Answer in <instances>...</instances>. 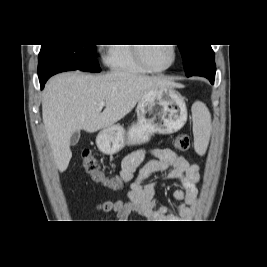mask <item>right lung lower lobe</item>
I'll return each instance as SVG.
<instances>
[{
  "label": "right lung lower lobe",
  "instance_id": "98d812e1",
  "mask_svg": "<svg viewBox=\"0 0 267 267\" xmlns=\"http://www.w3.org/2000/svg\"><path fill=\"white\" fill-rule=\"evenodd\" d=\"M72 70H79V69L56 59L40 60L38 65V77L41 89L44 88L46 81L51 76L60 72L72 71Z\"/></svg>",
  "mask_w": 267,
  "mask_h": 267
}]
</instances>
